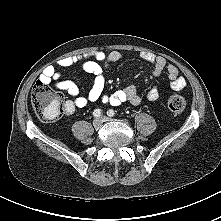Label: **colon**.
Instances as JSON below:
<instances>
[{"label":"colon","mask_w":221,"mask_h":221,"mask_svg":"<svg viewBox=\"0 0 221 221\" xmlns=\"http://www.w3.org/2000/svg\"><path fill=\"white\" fill-rule=\"evenodd\" d=\"M31 105L36 115L45 121L58 119L64 110L62 96L40 81L32 89ZM167 106L172 112L180 114L186 108V101L180 95H171L167 100Z\"/></svg>","instance_id":"obj_1"}]
</instances>
